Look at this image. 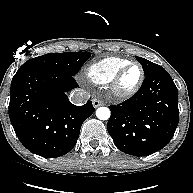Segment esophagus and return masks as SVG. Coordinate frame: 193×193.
Wrapping results in <instances>:
<instances>
[{
  "instance_id": "esophagus-1",
  "label": "esophagus",
  "mask_w": 193,
  "mask_h": 193,
  "mask_svg": "<svg viewBox=\"0 0 193 193\" xmlns=\"http://www.w3.org/2000/svg\"><path fill=\"white\" fill-rule=\"evenodd\" d=\"M92 104H93L94 108H97V107L103 105V102L98 100V99H93Z\"/></svg>"
}]
</instances>
